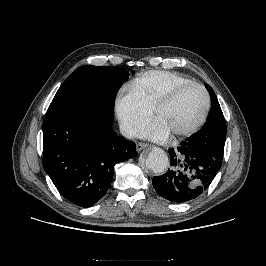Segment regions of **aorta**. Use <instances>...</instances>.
<instances>
[{
	"mask_svg": "<svg viewBox=\"0 0 266 266\" xmlns=\"http://www.w3.org/2000/svg\"><path fill=\"white\" fill-rule=\"evenodd\" d=\"M168 156L161 148L154 147L145 159L146 167L154 173H162L168 166Z\"/></svg>",
	"mask_w": 266,
	"mask_h": 266,
	"instance_id": "aorta-1",
	"label": "aorta"
}]
</instances>
